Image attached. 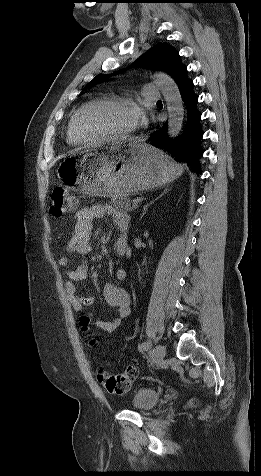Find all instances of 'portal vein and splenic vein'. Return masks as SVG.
<instances>
[{
    "instance_id": "obj_1",
    "label": "portal vein and splenic vein",
    "mask_w": 261,
    "mask_h": 476,
    "mask_svg": "<svg viewBox=\"0 0 261 476\" xmlns=\"http://www.w3.org/2000/svg\"><path fill=\"white\" fill-rule=\"evenodd\" d=\"M132 207H133L134 209L138 208V207H139L138 201L134 200L133 203H132Z\"/></svg>"
}]
</instances>
